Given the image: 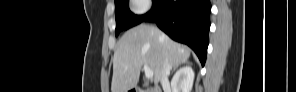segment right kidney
<instances>
[{
    "mask_svg": "<svg viewBox=\"0 0 296 92\" xmlns=\"http://www.w3.org/2000/svg\"><path fill=\"white\" fill-rule=\"evenodd\" d=\"M194 71L190 66L180 68L171 80L172 92H191Z\"/></svg>",
    "mask_w": 296,
    "mask_h": 92,
    "instance_id": "right-kidney-1",
    "label": "right kidney"
}]
</instances>
